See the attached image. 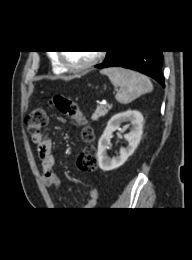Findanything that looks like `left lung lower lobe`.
<instances>
[{
    "instance_id": "left-lung-lower-lobe-1",
    "label": "left lung lower lobe",
    "mask_w": 192,
    "mask_h": 260,
    "mask_svg": "<svg viewBox=\"0 0 192 260\" xmlns=\"http://www.w3.org/2000/svg\"><path fill=\"white\" fill-rule=\"evenodd\" d=\"M163 55L161 50H125L110 51L105 60L96 65V68L123 67L148 75L160 83L163 87L162 75Z\"/></svg>"
}]
</instances>
